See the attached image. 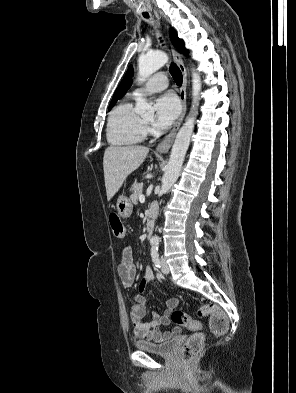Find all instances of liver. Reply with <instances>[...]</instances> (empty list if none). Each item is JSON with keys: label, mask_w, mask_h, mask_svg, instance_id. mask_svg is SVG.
<instances>
[{"label": "liver", "mask_w": 296, "mask_h": 393, "mask_svg": "<svg viewBox=\"0 0 296 393\" xmlns=\"http://www.w3.org/2000/svg\"><path fill=\"white\" fill-rule=\"evenodd\" d=\"M149 152L143 146H110L104 152L103 169L107 200L118 192L128 175L139 168Z\"/></svg>", "instance_id": "1"}]
</instances>
